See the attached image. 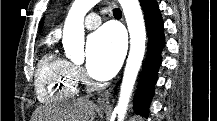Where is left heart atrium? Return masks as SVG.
Masks as SVG:
<instances>
[{
    "instance_id": "left-heart-atrium-1",
    "label": "left heart atrium",
    "mask_w": 217,
    "mask_h": 121,
    "mask_svg": "<svg viewBox=\"0 0 217 121\" xmlns=\"http://www.w3.org/2000/svg\"><path fill=\"white\" fill-rule=\"evenodd\" d=\"M124 53L125 38L122 31L113 24L100 28L87 42L89 74L98 80L109 79L120 67Z\"/></svg>"
}]
</instances>
